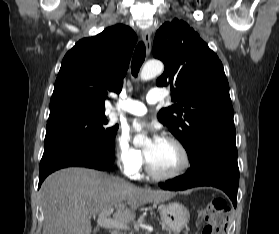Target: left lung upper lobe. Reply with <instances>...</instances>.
<instances>
[{
	"label": "left lung upper lobe",
	"instance_id": "5c2ea615",
	"mask_svg": "<svg viewBox=\"0 0 279 234\" xmlns=\"http://www.w3.org/2000/svg\"><path fill=\"white\" fill-rule=\"evenodd\" d=\"M152 53L165 64L157 86L170 85L176 102L158 120L183 144L190 163L207 143L235 139L223 65L198 33L182 20L166 22L156 32Z\"/></svg>",
	"mask_w": 279,
	"mask_h": 234
}]
</instances>
